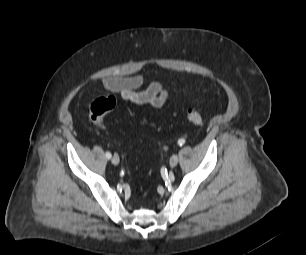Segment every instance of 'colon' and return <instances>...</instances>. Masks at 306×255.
<instances>
[{"label": "colon", "instance_id": "colon-1", "mask_svg": "<svg viewBox=\"0 0 306 255\" xmlns=\"http://www.w3.org/2000/svg\"><path fill=\"white\" fill-rule=\"evenodd\" d=\"M117 107V100L113 96L96 99L90 107V118L98 126L104 127V116ZM187 120L195 127H201L203 119L201 114L193 108L186 111Z\"/></svg>", "mask_w": 306, "mask_h": 255}]
</instances>
